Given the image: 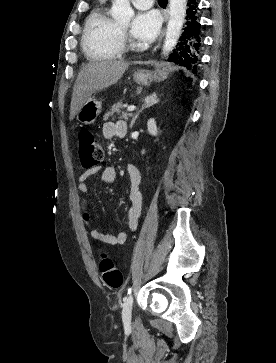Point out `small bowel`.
<instances>
[{
    "mask_svg": "<svg viewBox=\"0 0 276 363\" xmlns=\"http://www.w3.org/2000/svg\"><path fill=\"white\" fill-rule=\"evenodd\" d=\"M127 125L123 120L108 121L102 127V135L105 139L114 137H123L126 134ZM127 172L130 180V203L128 207V225L129 229L136 231L142 217L143 198L140 191L141 176L139 170L134 165L127 166ZM101 173V180L104 183L111 184L116 181L117 173L113 166L100 164L84 171L77 179V189L84 195H89L88 187L85 181L92 175ZM88 235L95 241L108 245H122L127 240V233L121 231L117 234H107L95 228H89Z\"/></svg>",
    "mask_w": 276,
    "mask_h": 363,
    "instance_id": "small-bowel-1",
    "label": "small bowel"
}]
</instances>
